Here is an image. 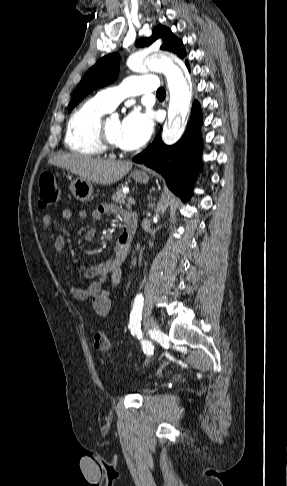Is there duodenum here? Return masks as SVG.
I'll return each instance as SVG.
<instances>
[{
    "label": "duodenum",
    "mask_w": 287,
    "mask_h": 486,
    "mask_svg": "<svg viewBox=\"0 0 287 486\" xmlns=\"http://www.w3.org/2000/svg\"><path fill=\"white\" fill-rule=\"evenodd\" d=\"M137 229V218L133 214H127L124 217L122 233L118 239L117 245L120 249L129 247Z\"/></svg>",
    "instance_id": "duodenum-1"
}]
</instances>
